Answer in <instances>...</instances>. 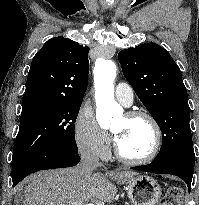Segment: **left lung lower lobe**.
Masks as SVG:
<instances>
[{"label": "left lung lower lobe", "mask_w": 199, "mask_h": 205, "mask_svg": "<svg viewBox=\"0 0 199 205\" xmlns=\"http://www.w3.org/2000/svg\"><path fill=\"white\" fill-rule=\"evenodd\" d=\"M194 164L185 160H169L161 163H151L148 165L136 166L132 169L138 171L152 172L158 174H173L183 179L190 192L191 182L194 173Z\"/></svg>", "instance_id": "0a47b994"}]
</instances>
